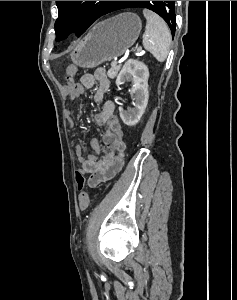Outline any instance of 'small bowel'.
<instances>
[{"instance_id":"1","label":"small bowel","mask_w":237,"mask_h":300,"mask_svg":"<svg viewBox=\"0 0 237 300\" xmlns=\"http://www.w3.org/2000/svg\"><path fill=\"white\" fill-rule=\"evenodd\" d=\"M79 89L73 88L71 85L62 87L63 94L69 99L78 98L84 88H91L98 85L94 93L93 100L97 105H101V111L95 115V121L98 125L105 127V133L102 141L93 137L90 139L92 153L83 155V148L76 147V155L81 163L80 171L88 174V184L95 187L101 183L107 182L115 177L124 165L125 151V130L115 115V104L106 100V94L110 88V81L107 77L105 68H97L93 73L84 74L81 78ZM67 119L70 127L73 123L70 118V111L67 112ZM88 199L80 200V209L86 210L88 207Z\"/></svg>"}]
</instances>
